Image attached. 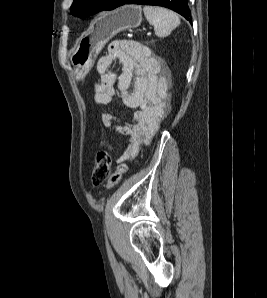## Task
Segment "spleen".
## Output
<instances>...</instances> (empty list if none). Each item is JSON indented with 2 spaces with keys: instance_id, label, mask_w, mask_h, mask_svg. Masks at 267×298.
Here are the masks:
<instances>
[{
  "instance_id": "3e777b00",
  "label": "spleen",
  "mask_w": 267,
  "mask_h": 298,
  "mask_svg": "<svg viewBox=\"0 0 267 298\" xmlns=\"http://www.w3.org/2000/svg\"><path fill=\"white\" fill-rule=\"evenodd\" d=\"M147 21L154 27L158 37L168 36L180 25L179 16L168 9L155 6H145L143 8Z\"/></svg>"
}]
</instances>
